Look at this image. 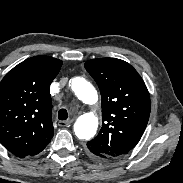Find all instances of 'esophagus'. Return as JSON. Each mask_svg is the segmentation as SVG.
I'll use <instances>...</instances> for the list:
<instances>
[{
  "label": "esophagus",
  "mask_w": 183,
  "mask_h": 183,
  "mask_svg": "<svg viewBox=\"0 0 183 183\" xmlns=\"http://www.w3.org/2000/svg\"><path fill=\"white\" fill-rule=\"evenodd\" d=\"M73 123V120H67V121H59V126L61 127H69Z\"/></svg>",
  "instance_id": "obj_1"
}]
</instances>
